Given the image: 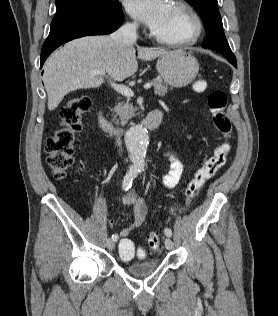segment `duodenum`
<instances>
[{"mask_svg":"<svg viewBox=\"0 0 278 316\" xmlns=\"http://www.w3.org/2000/svg\"><path fill=\"white\" fill-rule=\"evenodd\" d=\"M163 113L159 109L151 111L147 117L142 121V125L148 130H156L162 122ZM98 123L99 126L105 132L111 134H118L122 132V129L113 125L108 118L105 116L104 110L101 108L98 112Z\"/></svg>","mask_w":278,"mask_h":316,"instance_id":"410a0bca","label":"duodenum"}]
</instances>
